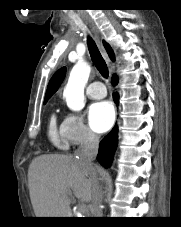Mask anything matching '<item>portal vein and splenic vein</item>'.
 Wrapping results in <instances>:
<instances>
[{
    "label": "portal vein and splenic vein",
    "instance_id": "portal-vein-and-splenic-vein-1",
    "mask_svg": "<svg viewBox=\"0 0 181 227\" xmlns=\"http://www.w3.org/2000/svg\"><path fill=\"white\" fill-rule=\"evenodd\" d=\"M86 210V206L85 205H82L81 206V211H85Z\"/></svg>",
    "mask_w": 181,
    "mask_h": 227
}]
</instances>
